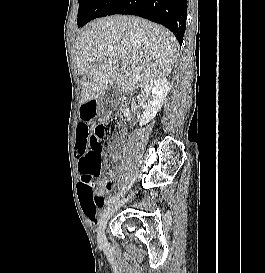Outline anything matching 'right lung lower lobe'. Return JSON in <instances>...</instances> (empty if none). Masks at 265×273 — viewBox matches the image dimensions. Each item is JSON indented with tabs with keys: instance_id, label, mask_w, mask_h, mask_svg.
I'll use <instances>...</instances> for the list:
<instances>
[{
	"instance_id": "98d812e1",
	"label": "right lung lower lobe",
	"mask_w": 265,
	"mask_h": 273,
	"mask_svg": "<svg viewBox=\"0 0 265 273\" xmlns=\"http://www.w3.org/2000/svg\"><path fill=\"white\" fill-rule=\"evenodd\" d=\"M113 14L137 15L162 24L173 32L180 45L183 42L187 0H117L107 15Z\"/></svg>"
}]
</instances>
